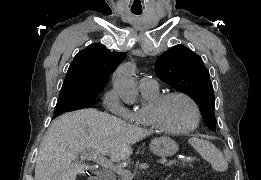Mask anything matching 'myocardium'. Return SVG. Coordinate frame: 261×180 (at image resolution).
Instances as JSON below:
<instances>
[{"mask_svg": "<svg viewBox=\"0 0 261 180\" xmlns=\"http://www.w3.org/2000/svg\"><path fill=\"white\" fill-rule=\"evenodd\" d=\"M173 97L183 98L192 106V108L194 110V120H193L192 124L189 126V128H187L186 130H184L182 132L163 134L158 130V128L156 127L155 124H153L152 122L146 121L144 119V113L155 111L157 108L164 105V103L168 99L173 98ZM201 118H202L201 109H200L197 101L192 96H190L186 92H182V91H170V92H166L164 94H159L152 101V103L149 106L145 107L142 112H138L136 121H137V125L139 126V128H141L148 137L162 136V137L170 138V139H182L197 129L198 125L201 122Z\"/></svg>", "mask_w": 261, "mask_h": 180, "instance_id": "1", "label": "myocardium"}]
</instances>
